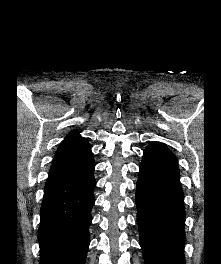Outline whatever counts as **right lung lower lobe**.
<instances>
[{
    "label": "right lung lower lobe",
    "mask_w": 221,
    "mask_h": 264,
    "mask_svg": "<svg viewBox=\"0 0 221 264\" xmlns=\"http://www.w3.org/2000/svg\"><path fill=\"white\" fill-rule=\"evenodd\" d=\"M94 166L90 152L50 168L40 209V264H84L96 185Z\"/></svg>",
    "instance_id": "right-lung-lower-lobe-1"
}]
</instances>
